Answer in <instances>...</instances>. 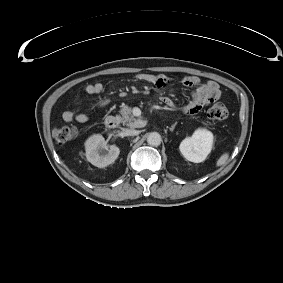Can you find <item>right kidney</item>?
Wrapping results in <instances>:
<instances>
[{"instance_id":"right-kidney-1","label":"right kidney","mask_w":283,"mask_h":283,"mask_svg":"<svg viewBox=\"0 0 283 283\" xmlns=\"http://www.w3.org/2000/svg\"><path fill=\"white\" fill-rule=\"evenodd\" d=\"M86 158L96 167L104 168L117 159L120 150L115 145H109L104 137L95 134L89 137L85 142Z\"/></svg>"}]
</instances>
